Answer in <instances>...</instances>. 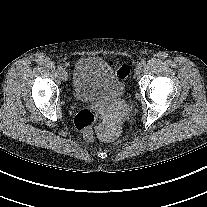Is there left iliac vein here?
Returning <instances> with one entry per match:
<instances>
[{
	"mask_svg": "<svg viewBox=\"0 0 207 207\" xmlns=\"http://www.w3.org/2000/svg\"><path fill=\"white\" fill-rule=\"evenodd\" d=\"M141 70H142V67H141L140 64H138V65L135 67L134 72H135L136 75H139L140 72H141Z\"/></svg>",
	"mask_w": 207,
	"mask_h": 207,
	"instance_id": "left-iliac-vein-1",
	"label": "left iliac vein"
}]
</instances>
